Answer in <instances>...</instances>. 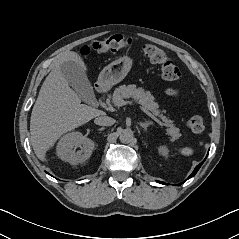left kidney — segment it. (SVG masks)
<instances>
[{"label":"left kidney","instance_id":"left-kidney-1","mask_svg":"<svg viewBox=\"0 0 239 239\" xmlns=\"http://www.w3.org/2000/svg\"><path fill=\"white\" fill-rule=\"evenodd\" d=\"M158 152H159L160 155H162L164 157H167L168 153H169V150H168L166 145H160L158 147Z\"/></svg>","mask_w":239,"mask_h":239}]
</instances>
